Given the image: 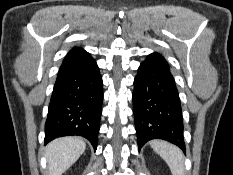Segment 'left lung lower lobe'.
<instances>
[{"label": "left lung lower lobe", "mask_w": 233, "mask_h": 175, "mask_svg": "<svg viewBox=\"0 0 233 175\" xmlns=\"http://www.w3.org/2000/svg\"><path fill=\"white\" fill-rule=\"evenodd\" d=\"M133 113L139 149L151 139H163L185 150L179 94L169 65L159 53L148 55L139 66Z\"/></svg>", "instance_id": "left-lung-lower-lobe-1"}]
</instances>
